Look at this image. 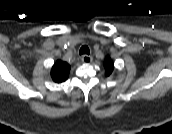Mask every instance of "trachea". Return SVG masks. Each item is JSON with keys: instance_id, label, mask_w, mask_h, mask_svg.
<instances>
[{"instance_id": "3493384b", "label": "trachea", "mask_w": 172, "mask_h": 134, "mask_svg": "<svg viewBox=\"0 0 172 134\" xmlns=\"http://www.w3.org/2000/svg\"><path fill=\"white\" fill-rule=\"evenodd\" d=\"M89 53H90V50H89L88 46L84 45L80 48V51H79L80 55H82V54L89 55Z\"/></svg>"}]
</instances>
